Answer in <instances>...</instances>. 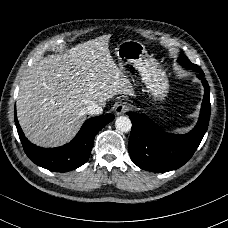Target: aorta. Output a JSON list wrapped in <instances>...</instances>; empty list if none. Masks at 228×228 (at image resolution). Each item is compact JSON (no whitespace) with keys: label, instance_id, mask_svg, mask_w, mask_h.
Here are the masks:
<instances>
[{"label":"aorta","instance_id":"1","mask_svg":"<svg viewBox=\"0 0 228 228\" xmlns=\"http://www.w3.org/2000/svg\"><path fill=\"white\" fill-rule=\"evenodd\" d=\"M115 127L119 132L128 133L132 129V123L128 117L120 116L115 121Z\"/></svg>","mask_w":228,"mask_h":228}]
</instances>
